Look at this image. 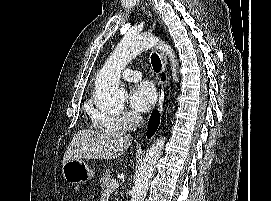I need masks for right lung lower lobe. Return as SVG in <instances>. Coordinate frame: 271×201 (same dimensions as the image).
I'll list each match as a JSON object with an SVG mask.
<instances>
[{
	"label": "right lung lower lobe",
	"instance_id": "1",
	"mask_svg": "<svg viewBox=\"0 0 271 201\" xmlns=\"http://www.w3.org/2000/svg\"><path fill=\"white\" fill-rule=\"evenodd\" d=\"M160 122V114L158 113V110H154L151 114L150 121L148 124V131L147 135L148 137H151L155 131L157 130Z\"/></svg>",
	"mask_w": 271,
	"mask_h": 201
}]
</instances>
